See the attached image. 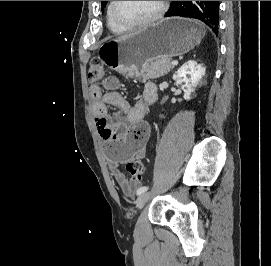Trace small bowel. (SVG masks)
Wrapping results in <instances>:
<instances>
[{"instance_id": "c3829d8e", "label": "small bowel", "mask_w": 271, "mask_h": 266, "mask_svg": "<svg viewBox=\"0 0 271 266\" xmlns=\"http://www.w3.org/2000/svg\"><path fill=\"white\" fill-rule=\"evenodd\" d=\"M105 86L107 92H103L99 85L90 88L92 113L98 133L105 143L110 172L122 192L131 195L139 182L127 179L119 166L131 159L143 158L146 154L150 130L144 117L148 107L157 99L156 88L153 84H147L142 99L131 106L116 89L114 78L108 79ZM108 105L117 111L114 121L108 115Z\"/></svg>"}]
</instances>
